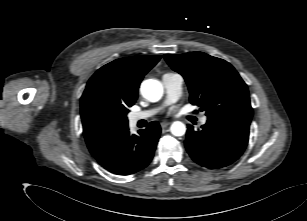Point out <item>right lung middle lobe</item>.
<instances>
[{
	"instance_id": "dd1d6c3e",
	"label": "right lung middle lobe",
	"mask_w": 307,
	"mask_h": 221,
	"mask_svg": "<svg viewBox=\"0 0 307 221\" xmlns=\"http://www.w3.org/2000/svg\"><path fill=\"white\" fill-rule=\"evenodd\" d=\"M127 110H114L111 108H102L97 116L98 123L104 127H112L114 125H121L128 127Z\"/></svg>"
}]
</instances>
